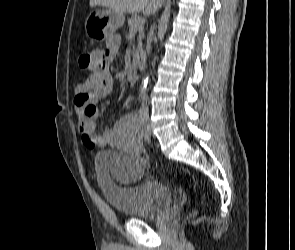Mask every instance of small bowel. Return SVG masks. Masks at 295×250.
I'll return each instance as SVG.
<instances>
[{
	"label": "small bowel",
	"mask_w": 295,
	"mask_h": 250,
	"mask_svg": "<svg viewBox=\"0 0 295 250\" xmlns=\"http://www.w3.org/2000/svg\"><path fill=\"white\" fill-rule=\"evenodd\" d=\"M119 37L111 36L102 50L90 54L93 64L91 74L76 86L74 104L79 111V132L82 142L88 149L112 146L124 154L118 159L113 177L120 183H129L140 177L146 167L147 159L141 156V134L133 115L120 118L116 125L97 130V103L111 90L113 80L110 63L117 56Z\"/></svg>",
	"instance_id": "1"
}]
</instances>
